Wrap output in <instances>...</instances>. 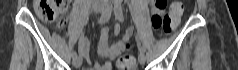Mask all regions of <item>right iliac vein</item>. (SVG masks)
<instances>
[{
    "instance_id": "1",
    "label": "right iliac vein",
    "mask_w": 238,
    "mask_h": 70,
    "mask_svg": "<svg viewBox=\"0 0 238 70\" xmlns=\"http://www.w3.org/2000/svg\"><path fill=\"white\" fill-rule=\"evenodd\" d=\"M92 9H93V11L95 13H100V12H102L104 10V7L102 5H100V4H94L92 6ZM72 62H73V65H74L75 68H79L81 66V64H82V59L77 56V57L73 58Z\"/></svg>"
}]
</instances>
